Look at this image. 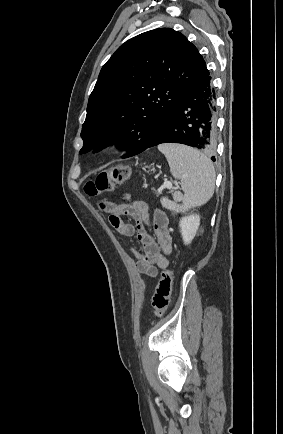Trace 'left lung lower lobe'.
Instances as JSON below:
<instances>
[{"label":"left lung lower lobe","instance_id":"obj_1","mask_svg":"<svg viewBox=\"0 0 283 434\" xmlns=\"http://www.w3.org/2000/svg\"><path fill=\"white\" fill-rule=\"evenodd\" d=\"M216 111L215 90L208 73L181 95L147 148L171 142L213 152Z\"/></svg>","mask_w":283,"mask_h":434}]
</instances>
